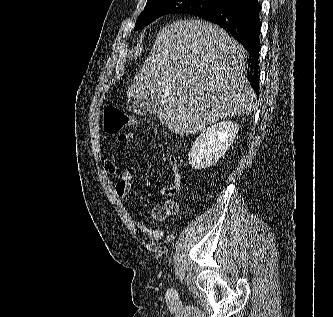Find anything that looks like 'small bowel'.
I'll use <instances>...</instances> for the list:
<instances>
[{"instance_id": "obj_1", "label": "small bowel", "mask_w": 333, "mask_h": 317, "mask_svg": "<svg viewBox=\"0 0 333 317\" xmlns=\"http://www.w3.org/2000/svg\"><path fill=\"white\" fill-rule=\"evenodd\" d=\"M132 139H134V133L132 132L122 133L118 136L119 142L130 141ZM103 166L105 171L110 174H114L117 170L116 164L110 156L109 151L106 152L103 157ZM171 168L173 173V182L171 185L164 187L162 192L166 196L174 197L178 194L180 190L182 179L178 166L174 161H171ZM132 178L133 173L130 169H125L121 174L120 179L116 183L115 187L116 193L120 198H127L131 194ZM179 211V203L174 199H170L166 201L164 205L154 207L151 211V217L157 222H163L169 216L177 215ZM135 225L139 232L154 241L160 240L165 234L164 230L152 229L140 221H137Z\"/></svg>"}]
</instances>
